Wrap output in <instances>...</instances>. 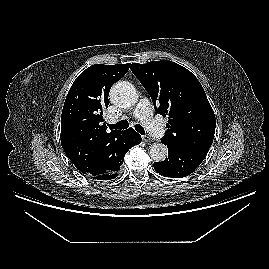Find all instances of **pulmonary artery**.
<instances>
[{
    "mask_svg": "<svg viewBox=\"0 0 269 269\" xmlns=\"http://www.w3.org/2000/svg\"><path fill=\"white\" fill-rule=\"evenodd\" d=\"M134 116L139 118L147 132L154 138H161L165 134L164 127L153 118L152 106L148 99L143 98L139 101L134 110ZM111 123L116 122V118L109 119Z\"/></svg>",
    "mask_w": 269,
    "mask_h": 269,
    "instance_id": "obj_1",
    "label": "pulmonary artery"
}]
</instances>
